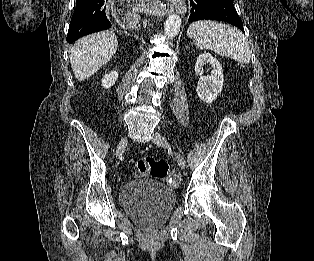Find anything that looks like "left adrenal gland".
I'll list each match as a JSON object with an SVG mask.
<instances>
[{
    "label": "left adrenal gland",
    "instance_id": "a2214340",
    "mask_svg": "<svg viewBox=\"0 0 314 261\" xmlns=\"http://www.w3.org/2000/svg\"><path fill=\"white\" fill-rule=\"evenodd\" d=\"M186 48L188 49V48H189V46H188V45H186Z\"/></svg>",
    "mask_w": 314,
    "mask_h": 261
}]
</instances>
